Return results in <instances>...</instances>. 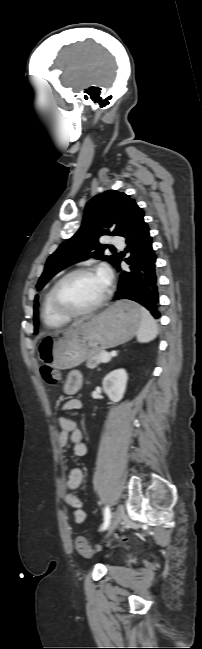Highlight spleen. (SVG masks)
Here are the masks:
<instances>
[{"label": "spleen", "mask_w": 202, "mask_h": 649, "mask_svg": "<svg viewBox=\"0 0 202 649\" xmlns=\"http://www.w3.org/2000/svg\"><path fill=\"white\" fill-rule=\"evenodd\" d=\"M141 315L142 320L137 331V340L138 342L146 343L153 340L157 336L158 327L154 318L147 309L142 307Z\"/></svg>", "instance_id": "obj_1"}]
</instances>
